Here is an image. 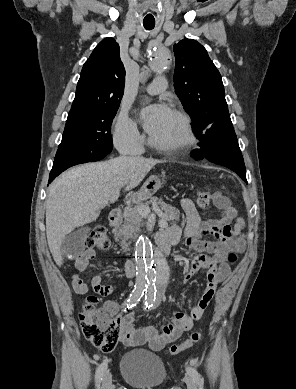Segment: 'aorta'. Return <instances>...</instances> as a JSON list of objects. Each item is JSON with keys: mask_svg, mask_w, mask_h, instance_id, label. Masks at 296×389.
<instances>
[{"mask_svg": "<svg viewBox=\"0 0 296 389\" xmlns=\"http://www.w3.org/2000/svg\"><path fill=\"white\" fill-rule=\"evenodd\" d=\"M172 59L171 49L156 46L152 49L150 67L156 73H163ZM134 250L138 268L137 287L146 288L148 296L153 297L169 280L167 260L146 238L139 239Z\"/></svg>", "mask_w": 296, "mask_h": 389, "instance_id": "1", "label": "aorta"}]
</instances>
